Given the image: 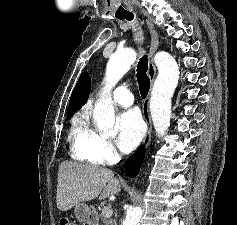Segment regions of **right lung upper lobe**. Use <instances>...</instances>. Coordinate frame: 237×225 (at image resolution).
<instances>
[{
    "label": "right lung upper lobe",
    "instance_id": "right-lung-upper-lobe-1",
    "mask_svg": "<svg viewBox=\"0 0 237 225\" xmlns=\"http://www.w3.org/2000/svg\"><path fill=\"white\" fill-rule=\"evenodd\" d=\"M91 88V78L87 72L81 74L78 82L70 97V106L67 111L68 115H73L82 105H84L89 97Z\"/></svg>",
    "mask_w": 237,
    "mask_h": 225
}]
</instances>
